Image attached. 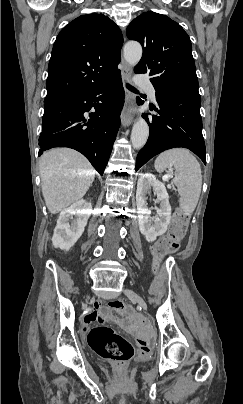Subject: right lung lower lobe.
<instances>
[{"label": "right lung lower lobe", "mask_w": 243, "mask_h": 404, "mask_svg": "<svg viewBox=\"0 0 243 404\" xmlns=\"http://www.w3.org/2000/svg\"><path fill=\"white\" fill-rule=\"evenodd\" d=\"M124 97L119 75L87 92L45 103L39 155L53 147L73 148L103 175L120 125ZM98 101L102 103L87 120L84 113Z\"/></svg>", "instance_id": "98d812e1"}]
</instances>
